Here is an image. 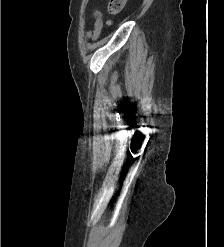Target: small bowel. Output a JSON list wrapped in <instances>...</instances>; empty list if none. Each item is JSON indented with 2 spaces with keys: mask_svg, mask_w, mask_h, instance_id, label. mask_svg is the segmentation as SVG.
Returning a JSON list of instances; mask_svg holds the SVG:
<instances>
[{
  "mask_svg": "<svg viewBox=\"0 0 224 247\" xmlns=\"http://www.w3.org/2000/svg\"><path fill=\"white\" fill-rule=\"evenodd\" d=\"M100 27H101V22L99 19H97V22H96V27H95V30L93 32V36H97L98 33H99V30H100Z\"/></svg>",
  "mask_w": 224,
  "mask_h": 247,
  "instance_id": "obj_1",
  "label": "small bowel"
}]
</instances>
